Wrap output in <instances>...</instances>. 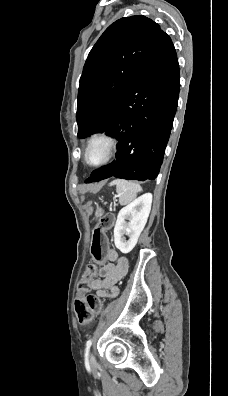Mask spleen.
<instances>
[{"mask_svg":"<svg viewBox=\"0 0 228 396\" xmlns=\"http://www.w3.org/2000/svg\"><path fill=\"white\" fill-rule=\"evenodd\" d=\"M112 184L116 185V191L121 205L130 203L137 197L138 193L142 191V188L138 183L124 179H116Z\"/></svg>","mask_w":228,"mask_h":396,"instance_id":"spleen-1","label":"spleen"}]
</instances>
